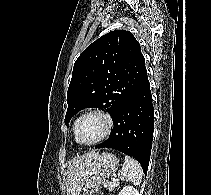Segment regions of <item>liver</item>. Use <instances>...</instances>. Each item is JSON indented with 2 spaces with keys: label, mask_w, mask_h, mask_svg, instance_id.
Returning <instances> with one entry per match:
<instances>
[{
  "label": "liver",
  "mask_w": 211,
  "mask_h": 195,
  "mask_svg": "<svg viewBox=\"0 0 211 195\" xmlns=\"http://www.w3.org/2000/svg\"><path fill=\"white\" fill-rule=\"evenodd\" d=\"M98 155L97 152L92 151L69 162L64 180L67 195H81L90 162Z\"/></svg>",
  "instance_id": "liver-1"
}]
</instances>
